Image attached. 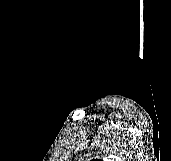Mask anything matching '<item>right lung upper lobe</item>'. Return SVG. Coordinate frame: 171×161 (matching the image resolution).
<instances>
[{"mask_svg":"<svg viewBox=\"0 0 171 161\" xmlns=\"http://www.w3.org/2000/svg\"><path fill=\"white\" fill-rule=\"evenodd\" d=\"M91 161H102V160H100V159H93V160H91Z\"/></svg>","mask_w":171,"mask_h":161,"instance_id":"cb5924a9","label":"right lung upper lobe"}]
</instances>
